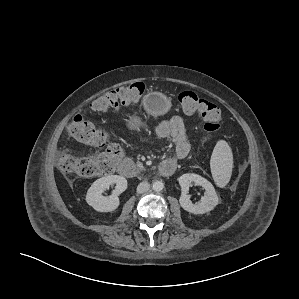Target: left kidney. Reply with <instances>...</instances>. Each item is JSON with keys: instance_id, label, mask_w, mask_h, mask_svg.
<instances>
[{"instance_id": "left-kidney-1", "label": "left kidney", "mask_w": 299, "mask_h": 299, "mask_svg": "<svg viewBox=\"0 0 299 299\" xmlns=\"http://www.w3.org/2000/svg\"><path fill=\"white\" fill-rule=\"evenodd\" d=\"M178 181L182 190L179 202L181 207L187 212L193 214H204L210 212L218 205L219 199L214 186L207 179L194 173H186L180 176ZM192 183L202 186L205 189L204 196L198 204H193L190 200V196L187 194Z\"/></svg>"}]
</instances>
